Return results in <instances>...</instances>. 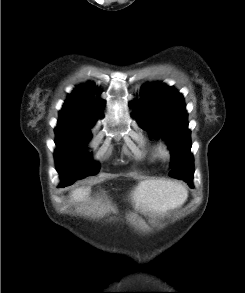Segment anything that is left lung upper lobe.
I'll list each match as a JSON object with an SVG mask.
<instances>
[{"label":"left lung upper lobe","instance_id":"obj_1","mask_svg":"<svg viewBox=\"0 0 245 293\" xmlns=\"http://www.w3.org/2000/svg\"><path fill=\"white\" fill-rule=\"evenodd\" d=\"M131 106L144 130L167 141L171 151L169 176L180 179L194 175L190 130L183 96L161 83L142 89L141 99Z\"/></svg>","mask_w":245,"mask_h":293}]
</instances>
